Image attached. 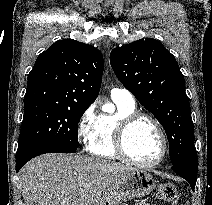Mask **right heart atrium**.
<instances>
[{
	"mask_svg": "<svg viewBox=\"0 0 212 205\" xmlns=\"http://www.w3.org/2000/svg\"><path fill=\"white\" fill-rule=\"evenodd\" d=\"M97 118L95 105L92 104L83 111L76 128L77 139L80 143L85 145L89 143L96 127Z\"/></svg>",
	"mask_w": 212,
	"mask_h": 205,
	"instance_id": "obj_1",
	"label": "right heart atrium"
}]
</instances>
